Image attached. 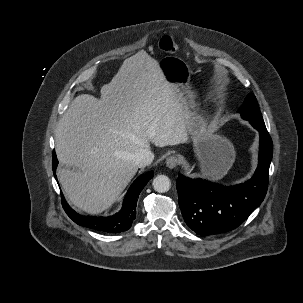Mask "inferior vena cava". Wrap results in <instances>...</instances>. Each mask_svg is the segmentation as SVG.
Returning <instances> with one entry per match:
<instances>
[{
	"mask_svg": "<svg viewBox=\"0 0 303 303\" xmlns=\"http://www.w3.org/2000/svg\"><path fill=\"white\" fill-rule=\"evenodd\" d=\"M154 159V154L147 149H141L139 152L135 153L133 156V161L137 167L143 168L152 163Z\"/></svg>",
	"mask_w": 303,
	"mask_h": 303,
	"instance_id": "602c4592",
	"label": "inferior vena cava"
}]
</instances>
